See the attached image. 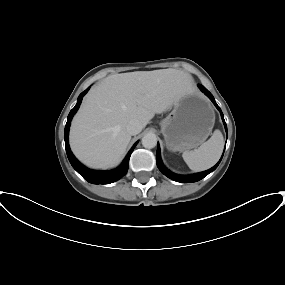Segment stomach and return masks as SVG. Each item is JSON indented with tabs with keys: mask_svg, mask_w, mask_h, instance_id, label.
I'll use <instances>...</instances> for the list:
<instances>
[{
	"mask_svg": "<svg viewBox=\"0 0 285 285\" xmlns=\"http://www.w3.org/2000/svg\"><path fill=\"white\" fill-rule=\"evenodd\" d=\"M215 122L214 110L199 93L178 99L171 113L161 121V132L172 152L188 151L201 145L210 135Z\"/></svg>",
	"mask_w": 285,
	"mask_h": 285,
	"instance_id": "stomach-1",
	"label": "stomach"
}]
</instances>
